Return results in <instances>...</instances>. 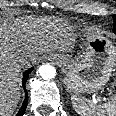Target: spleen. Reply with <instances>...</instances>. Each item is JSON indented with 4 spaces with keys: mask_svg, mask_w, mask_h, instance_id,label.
Instances as JSON below:
<instances>
[{
    "mask_svg": "<svg viewBox=\"0 0 116 116\" xmlns=\"http://www.w3.org/2000/svg\"><path fill=\"white\" fill-rule=\"evenodd\" d=\"M71 102L79 116H116V95L109 97L102 105L76 95L71 96Z\"/></svg>",
    "mask_w": 116,
    "mask_h": 116,
    "instance_id": "3e777b00",
    "label": "spleen"
}]
</instances>
